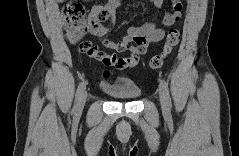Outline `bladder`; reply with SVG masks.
Here are the masks:
<instances>
[{
  "instance_id": "obj_1",
  "label": "bladder",
  "mask_w": 239,
  "mask_h": 156,
  "mask_svg": "<svg viewBox=\"0 0 239 156\" xmlns=\"http://www.w3.org/2000/svg\"><path fill=\"white\" fill-rule=\"evenodd\" d=\"M104 92L120 100H136L142 94V90L136 86L127 87L125 89L104 88Z\"/></svg>"
}]
</instances>
